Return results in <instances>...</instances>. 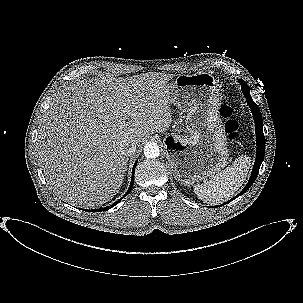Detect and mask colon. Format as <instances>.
<instances>
[{
	"label": "colon",
	"instance_id": "5ec220e1",
	"mask_svg": "<svg viewBox=\"0 0 303 303\" xmlns=\"http://www.w3.org/2000/svg\"><path fill=\"white\" fill-rule=\"evenodd\" d=\"M220 114L223 117L224 131L229 141H234L238 137L239 124L237 120L233 117V107L230 102L224 104L220 109Z\"/></svg>",
	"mask_w": 303,
	"mask_h": 303
}]
</instances>
